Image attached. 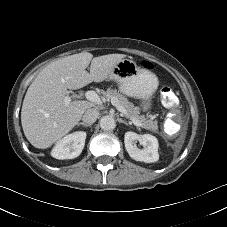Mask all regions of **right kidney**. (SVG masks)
I'll use <instances>...</instances> for the list:
<instances>
[{"mask_svg": "<svg viewBox=\"0 0 227 227\" xmlns=\"http://www.w3.org/2000/svg\"><path fill=\"white\" fill-rule=\"evenodd\" d=\"M86 132L76 131L59 139L51 155L56 159H73L79 156L84 148Z\"/></svg>", "mask_w": 227, "mask_h": 227, "instance_id": "obj_1", "label": "right kidney"}]
</instances>
